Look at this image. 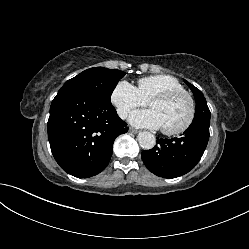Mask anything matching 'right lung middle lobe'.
Returning <instances> with one entry per match:
<instances>
[{"label":"right lung middle lobe","mask_w":249,"mask_h":249,"mask_svg":"<svg viewBox=\"0 0 249 249\" xmlns=\"http://www.w3.org/2000/svg\"><path fill=\"white\" fill-rule=\"evenodd\" d=\"M125 72L103 67L90 68L68 80L61 89L83 91L97 100L111 104L110 98L119 80Z\"/></svg>","instance_id":"dd1d6c3e"}]
</instances>
